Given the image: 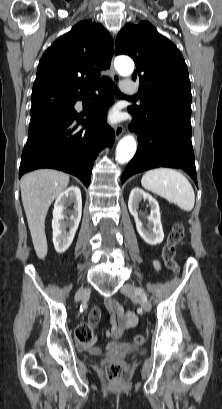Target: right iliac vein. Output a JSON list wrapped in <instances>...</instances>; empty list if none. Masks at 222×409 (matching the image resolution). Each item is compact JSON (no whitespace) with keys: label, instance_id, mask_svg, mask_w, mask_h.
<instances>
[{"label":"right iliac vein","instance_id":"right-iliac-vein-1","mask_svg":"<svg viewBox=\"0 0 222 409\" xmlns=\"http://www.w3.org/2000/svg\"><path fill=\"white\" fill-rule=\"evenodd\" d=\"M89 294H90V289L89 288L82 289V290L77 292L75 299L79 300V299H81L83 297L88 296Z\"/></svg>","mask_w":222,"mask_h":409}]
</instances>
